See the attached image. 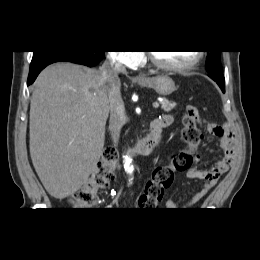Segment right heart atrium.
Listing matches in <instances>:
<instances>
[{
	"mask_svg": "<svg viewBox=\"0 0 260 260\" xmlns=\"http://www.w3.org/2000/svg\"><path fill=\"white\" fill-rule=\"evenodd\" d=\"M114 59L127 67H134L139 65L142 60L143 56L141 52L138 51H120V52H115L113 55Z\"/></svg>",
	"mask_w": 260,
	"mask_h": 260,
	"instance_id": "obj_1",
	"label": "right heart atrium"
}]
</instances>
